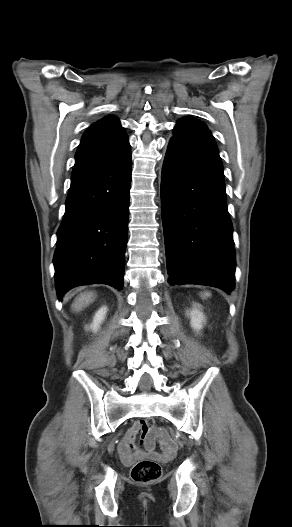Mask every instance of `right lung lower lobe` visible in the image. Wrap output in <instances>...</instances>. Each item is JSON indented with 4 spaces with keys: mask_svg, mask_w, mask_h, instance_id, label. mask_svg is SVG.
<instances>
[{
    "mask_svg": "<svg viewBox=\"0 0 292 527\" xmlns=\"http://www.w3.org/2000/svg\"><path fill=\"white\" fill-rule=\"evenodd\" d=\"M131 171L129 143L76 154L53 258L59 300L79 285L122 289Z\"/></svg>",
    "mask_w": 292,
    "mask_h": 527,
    "instance_id": "98d812e1",
    "label": "right lung lower lobe"
}]
</instances>
